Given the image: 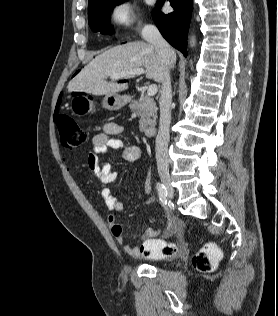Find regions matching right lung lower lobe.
Returning a JSON list of instances; mask_svg holds the SVG:
<instances>
[{
  "label": "right lung lower lobe",
  "mask_w": 278,
  "mask_h": 316,
  "mask_svg": "<svg viewBox=\"0 0 278 316\" xmlns=\"http://www.w3.org/2000/svg\"><path fill=\"white\" fill-rule=\"evenodd\" d=\"M164 1L158 0L157 8L153 11V19L163 37L186 57L187 32L193 0H169L174 12L168 15L160 11Z\"/></svg>",
  "instance_id": "1"
}]
</instances>
